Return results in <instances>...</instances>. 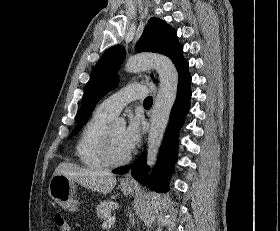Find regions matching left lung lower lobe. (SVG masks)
<instances>
[{
    "mask_svg": "<svg viewBox=\"0 0 280 231\" xmlns=\"http://www.w3.org/2000/svg\"><path fill=\"white\" fill-rule=\"evenodd\" d=\"M187 67L188 65L178 75L177 97L171 110L169 125L164 136L153 177L150 180H146L145 178L147 171L146 153L139 156L131 166L132 176L136 180L158 192H164L168 189V180L172 173L174 162L176 161L179 129L183 125L185 115L189 110L191 76L188 73ZM129 168V166H124L113 170V173L123 174Z\"/></svg>",
    "mask_w": 280,
    "mask_h": 231,
    "instance_id": "0a47b994",
    "label": "left lung lower lobe"
}]
</instances>
